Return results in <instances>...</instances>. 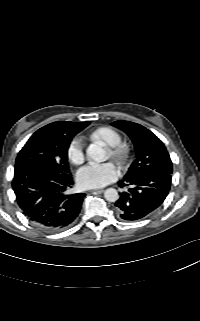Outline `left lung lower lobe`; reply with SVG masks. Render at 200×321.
<instances>
[{"label":"left lung lower lobe","instance_id":"0a47b994","mask_svg":"<svg viewBox=\"0 0 200 321\" xmlns=\"http://www.w3.org/2000/svg\"><path fill=\"white\" fill-rule=\"evenodd\" d=\"M172 175L166 172H146L126 176L118 182L120 187L128 186L115 203L119 220H139L157 209L165 200L171 186Z\"/></svg>","mask_w":200,"mask_h":321}]
</instances>
